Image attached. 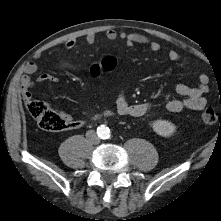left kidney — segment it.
<instances>
[{
	"label": "left kidney",
	"instance_id": "left-kidney-1",
	"mask_svg": "<svg viewBox=\"0 0 221 221\" xmlns=\"http://www.w3.org/2000/svg\"><path fill=\"white\" fill-rule=\"evenodd\" d=\"M152 125L153 130L163 137H169L176 131V126L166 120H156Z\"/></svg>",
	"mask_w": 221,
	"mask_h": 221
}]
</instances>
